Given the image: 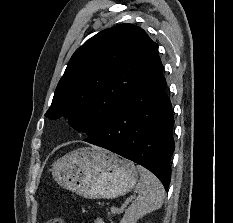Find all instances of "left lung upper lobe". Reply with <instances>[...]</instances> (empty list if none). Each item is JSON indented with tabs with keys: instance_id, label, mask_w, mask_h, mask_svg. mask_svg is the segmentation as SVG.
Listing matches in <instances>:
<instances>
[{
	"instance_id": "1",
	"label": "left lung upper lobe",
	"mask_w": 233,
	"mask_h": 223,
	"mask_svg": "<svg viewBox=\"0 0 233 223\" xmlns=\"http://www.w3.org/2000/svg\"><path fill=\"white\" fill-rule=\"evenodd\" d=\"M157 55L158 44L135 25L99 32L71 57L45 116L68 117L90 141L136 90Z\"/></svg>"
}]
</instances>
